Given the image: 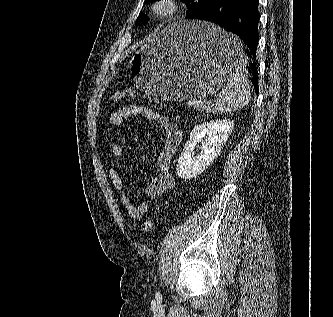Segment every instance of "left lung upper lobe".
I'll return each mask as SVG.
<instances>
[{
    "label": "left lung upper lobe",
    "mask_w": 333,
    "mask_h": 317,
    "mask_svg": "<svg viewBox=\"0 0 333 317\" xmlns=\"http://www.w3.org/2000/svg\"><path fill=\"white\" fill-rule=\"evenodd\" d=\"M156 0H145V3L153 2ZM183 3L187 6V13L186 18H188L193 13L203 9L207 5H209L213 0H181ZM137 23L139 24H145L148 22V18L145 17L143 13H140L137 20Z\"/></svg>",
    "instance_id": "5c2ea615"
}]
</instances>
